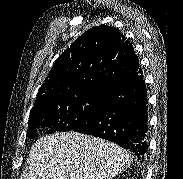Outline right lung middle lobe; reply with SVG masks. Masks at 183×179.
<instances>
[{
  "mask_svg": "<svg viewBox=\"0 0 183 179\" xmlns=\"http://www.w3.org/2000/svg\"><path fill=\"white\" fill-rule=\"evenodd\" d=\"M101 94L63 97L31 109L27 136H38L36 129L49 127L47 133L75 131L89 121L97 111Z\"/></svg>",
  "mask_w": 183,
  "mask_h": 179,
  "instance_id": "right-lung-middle-lobe-1",
  "label": "right lung middle lobe"
}]
</instances>
